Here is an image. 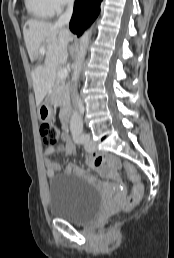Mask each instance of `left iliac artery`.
I'll use <instances>...</instances> for the list:
<instances>
[{
	"label": "left iliac artery",
	"mask_w": 174,
	"mask_h": 258,
	"mask_svg": "<svg viewBox=\"0 0 174 258\" xmlns=\"http://www.w3.org/2000/svg\"><path fill=\"white\" fill-rule=\"evenodd\" d=\"M73 139L77 144H84L86 142V135L83 134L82 127H78L72 131Z\"/></svg>",
	"instance_id": "left-iliac-artery-1"
}]
</instances>
